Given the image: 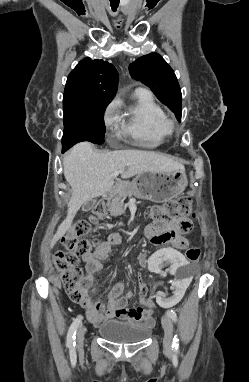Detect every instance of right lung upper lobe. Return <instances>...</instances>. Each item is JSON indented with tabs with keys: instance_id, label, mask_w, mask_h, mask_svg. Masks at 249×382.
<instances>
[{
	"instance_id": "cb5924a9",
	"label": "right lung upper lobe",
	"mask_w": 249,
	"mask_h": 382,
	"mask_svg": "<svg viewBox=\"0 0 249 382\" xmlns=\"http://www.w3.org/2000/svg\"><path fill=\"white\" fill-rule=\"evenodd\" d=\"M115 67L103 60H81L69 74L63 97V108L96 100L111 101L117 91Z\"/></svg>"
}]
</instances>
